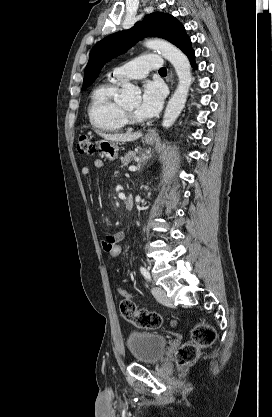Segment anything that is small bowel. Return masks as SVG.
Segmentation results:
<instances>
[{"instance_id":"c3829d8e","label":"small bowel","mask_w":272,"mask_h":417,"mask_svg":"<svg viewBox=\"0 0 272 417\" xmlns=\"http://www.w3.org/2000/svg\"><path fill=\"white\" fill-rule=\"evenodd\" d=\"M94 166L98 169H102V168L105 167V162L101 159H97V160L94 161ZM91 171H92L91 167L84 166L81 170V173H82L83 176H89L91 174ZM124 237H125V234H124L123 231H117V232H114L110 235H107L101 243L102 249L106 252L107 245L111 241L123 240Z\"/></svg>"}]
</instances>
